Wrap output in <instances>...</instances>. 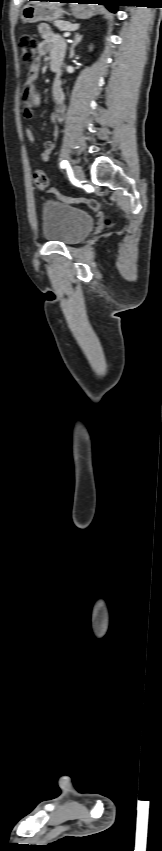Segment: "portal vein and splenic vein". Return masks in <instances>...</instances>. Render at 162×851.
Masks as SVG:
<instances>
[{
  "label": "portal vein and splenic vein",
  "instance_id": "1",
  "mask_svg": "<svg viewBox=\"0 0 162 851\" xmlns=\"http://www.w3.org/2000/svg\"><path fill=\"white\" fill-rule=\"evenodd\" d=\"M69 36H70L69 32L64 33V37H69Z\"/></svg>",
  "mask_w": 162,
  "mask_h": 851
}]
</instances>
